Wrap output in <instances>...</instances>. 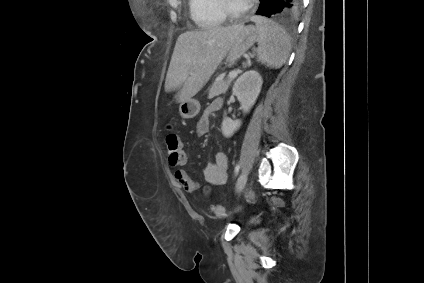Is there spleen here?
<instances>
[{
  "instance_id": "3e777b00",
  "label": "spleen",
  "mask_w": 424,
  "mask_h": 283,
  "mask_svg": "<svg viewBox=\"0 0 424 283\" xmlns=\"http://www.w3.org/2000/svg\"><path fill=\"white\" fill-rule=\"evenodd\" d=\"M253 20L258 31V61L270 68L281 67L291 50L289 35L272 20L261 16Z\"/></svg>"
}]
</instances>
